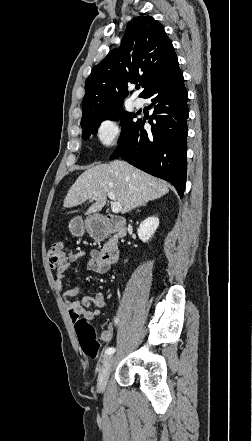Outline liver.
<instances>
[{"instance_id":"1","label":"liver","mask_w":252,"mask_h":441,"mask_svg":"<svg viewBox=\"0 0 252 441\" xmlns=\"http://www.w3.org/2000/svg\"><path fill=\"white\" fill-rule=\"evenodd\" d=\"M109 192L115 194L121 204V213L156 200L169 192L166 182L157 179L125 161L115 160L99 164L84 171L69 189L64 207L82 205L88 199L95 200L86 214L102 210Z\"/></svg>"}]
</instances>
